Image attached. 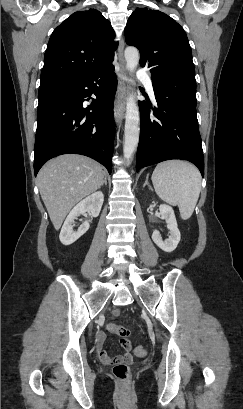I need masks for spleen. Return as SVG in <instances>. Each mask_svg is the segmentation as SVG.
Returning a JSON list of instances; mask_svg holds the SVG:
<instances>
[{"mask_svg": "<svg viewBox=\"0 0 243 409\" xmlns=\"http://www.w3.org/2000/svg\"><path fill=\"white\" fill-rule=\"evenodd\" d=\"M152 182L163 201L179 207L183 220L191 217L201 190V175L194 165L179 160L160 163L153 171Z\"/></svg>", "mask_w": 243, "mask_h": 409, "instance_id": "obj_1", "label": "spleen"}]
</instances>
